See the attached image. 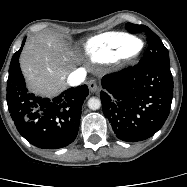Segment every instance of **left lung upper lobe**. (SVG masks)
<instances>
[{
	"instance_id": "5c2ea615",
	"label": "left lung upper lobe",
	"mask_w": 187,
	"mask_h": 187,
	"mask_svg": "<svg viewBox=\"0 0 187 187\" xmlns=\"http://www.w3.org/2000/svg\"><path fill=\"white\" fill-rule=\"evenodd\" d=\"M126 29L130 33H140L143 32L147 36L148 49L140 60L143 63H155V62H164L169 63V53L168 50L163 45L160 38L147 26L136 25L132 23H127Z\"/></svg>"
}]
</instances>
